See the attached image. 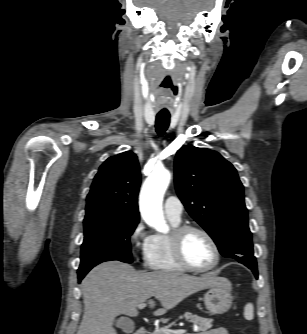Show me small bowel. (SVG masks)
<instances>
[{
    "instance_id": "small-bowel-1",
    "label": "small bowel",
    "mask_w": 307,
    "mask_h": 334,
    "mask_svg": "<svg viewBox=\"0 0 307 334\" xmlns=\"http://www.w3.org/2000/svg\"><path fill=\"white\" fill-rule=\"evenodd\" d=\"M201 334H228V331L223 327H219V328H215V329H211V330L202 332Z\"/></svg>"
}]
</instances>
